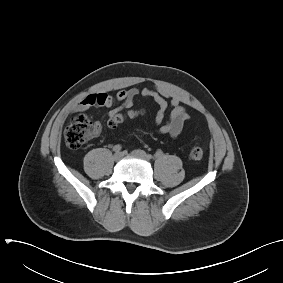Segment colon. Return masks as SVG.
<instances>
[{"mask_svg": "<svg viewBox=\"0 0 283 283\" xmlns=\"http://www.w3.org/2000/svg\"><path fill=\"white\" fill-rule=\"evenodd\" d=\"M143 114L142 110L131 109L120 112L108 120V126L115 128L124 120L135 118ZM95 131V124L87 114H78L71 120L65 129V142L71 149L81 147ZM189 158L193 161H200L203 158V151L200 147L194 146L189 152Z\"/></svg>", "mask_w": 283, "mask_h": 283, "instance_id": "5ec220e1", "label": "colon"}]
</instances>
